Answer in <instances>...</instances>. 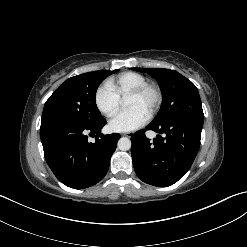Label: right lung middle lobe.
<instances>
[{
	"mask_svg": "<svg viewBox=\"0 0 247 247\" xmlns=\"http://www.w3.org/2000/svg\"><path fill=\"white\" fill-rule=\"evenodd\" d=\"M118 71H94L67 79L46 101L41 125L57 121L92 125L102 120L96 106V91L106 77Z\"/></svg>",
	"mask_w": 247,
	"mask_h": 247,
	"instance_id": "right-lung-middle-lobe-1",
	"label": "right lung middle lobe"
}]
</instances>
